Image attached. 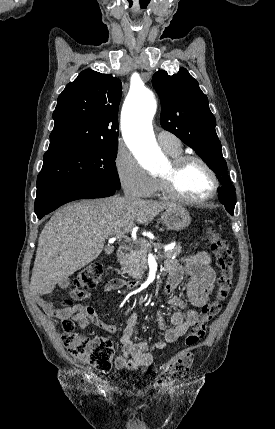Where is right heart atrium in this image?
<instances>
[{
    "mask_svg": "<svg viewBox=\"0 0 275 429\" xmlns=\"http://www.w3.org/2000/svg\"><path fill=\"white\" fill-rule=\"evenodd\" d=\"M115 169L122 187L138 197L149 196L156 187V179L137 162L131 153L119 148L115 157Z\"/></svg>",
    "mask_w": 275,
    "mask_h": 429,
    "instance_id": "obj_1",
    "label": "right heart atrium"
}]
</instances>
